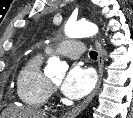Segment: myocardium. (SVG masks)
<instances>
[{"instance_id":"1","label":"myocardium","mask_w":133,"mask_h":118,"mask_svg":"<svg viewBox=\"0 0 133 118\" xmlns=\"http://www.w3.org/2000/svg\"><path fill=\"white\" fill-rule=\"evenodd\" d=\"M55 86V83L51 82V87H54Z\"/></svg>"}]
</instances>
